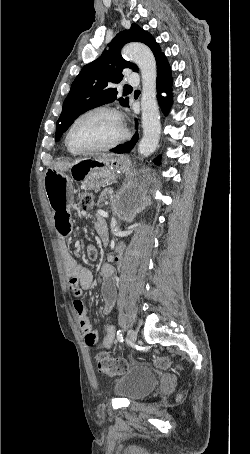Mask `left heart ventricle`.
Here are the masks:
<instances>
[{
	"instance_id": "obj_1",
	"label": "left heart ventricle",
	"mask_w": 250,
	"mask_h": 454,
	"mask_svg": "<svg viewBox=\"0 0 250 454\" xmlns=\"http://www.w3.org/2000/svg\"><path fill=\"white\" fill-rule=\"evenodd\" d=\"M121 132L117 118L107 112H98L83 118L73 129L71 142L78 149L105 145Z\"/></svg>"
}]
</instances>
